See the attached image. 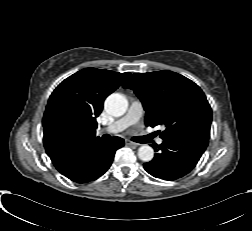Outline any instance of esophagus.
Returning a JSON list of instances; mask_svg holds the SVG:
<instances>
[{
    "instance_id": "esophagus-1",
    "label": "esophagus",
    "mask_w": 252,
    "mask_h": 231,
    "mask_svg": "<svg viewBox=\"0 0 252 231\" xmlns=\"http://www.w3.org/2000/svg\"><path fill=\"white\" fill-rule=\"evenodd\" d=\"M125 142H126V144L129 145V146L137 147V146L139 145L138 143H135V142H133V141H131V140H126Z\"/></svg>"
}]
</instances>
